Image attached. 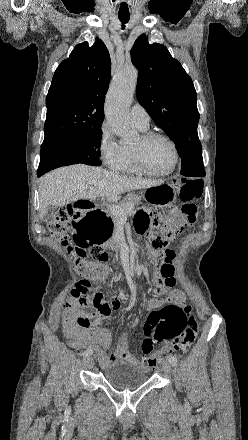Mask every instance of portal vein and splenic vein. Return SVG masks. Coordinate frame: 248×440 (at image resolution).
Returning a JSON list of instances; mask_svg holds the SVG:
<instances>
[{
    "instance_id": "obj_1",
    "label": "portal vein and splenic vein",
    "mask_w": 248,
    "mask_h": 440,
    "mask_svg": "<svg viewBox=\"0 0 248 440\" xmlns=\"http://www.w3.org/2000/svg\"><path fill=\"white\" fill-rule=\"evenodd\" d=\"M83 189H85V187L80 190H83ZM109 209L113 215H115L119 218V220L126 221L127 214L132 211V206L128 205L125 209L117 208L115 206H110Z\"/></svg>"
}]
</instances>
